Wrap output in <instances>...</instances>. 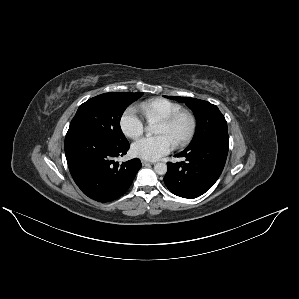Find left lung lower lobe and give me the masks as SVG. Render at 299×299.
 I'll return each mask as SVG.
<instances>
[{
    "mask_svg": "<svg viewBox=\"0 0 299 299\" xmlns=\"http://www.w3.org/2000/svg\"><path fill=\"white\" fill-rule=\"evenodd\" d=\"M229 150L228 134H217L187 147L175 155L184 162H168L164 177L167 188L175 195L195 198L209 190L219 178Z\"/></svg>",
    "mask_w": 299,
    "mask_h": 299,
    "instance_id": "1",
    "label": "left lung lower lobe"
}]
</instances>
